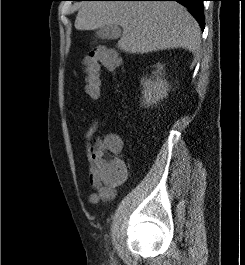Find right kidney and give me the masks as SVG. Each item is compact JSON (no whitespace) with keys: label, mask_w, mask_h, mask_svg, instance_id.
Instances as JSON below:
<instances>
[{"label":"right kidney","mask_w":245,"mask_h":265,"mask_svg":"<svg viewBox=\"0 0 245 265\" xmlns=\"http://www.w3.org/2000/svg\"><path fill=\"white\" fill-rule=\"evenodd\" d=\"M157 71L154 73L156 78L152 77V79H146L143 85V102L142 104L146 107L157 104L160 100L167 96L168 92V83L164 79H162V70L163 65L157 64Z\"/></svg>","instance_id":"obj_1"}]
</instances>
